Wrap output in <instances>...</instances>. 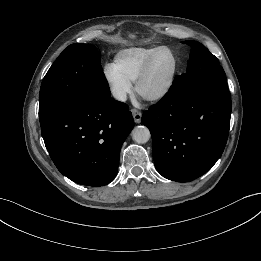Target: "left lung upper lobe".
I'll list each match as a JSON object with an SVG mask.
<instances>
[{
	"label": "left lung upper lobe",
	"mask_w": 261,
	"mask_h": 261,
	"mask_svg": "<svg viewBox=\"0 0 261 261\" xmlns=\"http://www.w3.org/2000/svg\"><path fill=\"white\" fill-rule=\"evenodd\" d=\"M183 43L191 47L190 59L187 72L175 78L170 89L172 94L183 99L205 82L226 80L218 59L206 47L196 41H183Z\"/></svg>",
	"instance_id": "1"
}]
</instances>
